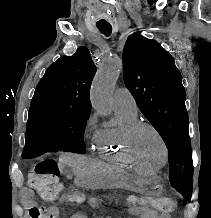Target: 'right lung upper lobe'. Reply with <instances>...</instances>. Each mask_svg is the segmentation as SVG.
I'll return each mask as SVG.
<instances>
[{
    "mask_svg": "<svg viewBox=\"0 0 211 218\" xmlns=\"http://www.w3.org/2000/svg\"><path fill=\"white\" fill-rule=\"evenodd\" d=\"M96 67L86 47L71 56H62L38 83L31 106L69 107L91 110L90 87Z\"/></svg>",
    "mask_w": 211,
    "mask_h": 218,
    "instance_id": "cb5924a9",
    "label": "right lung upper lobe"
}]
</instances>
